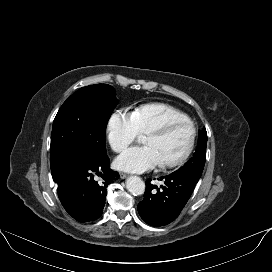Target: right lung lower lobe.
Returning a JSON list of instances; mask_svg holds the SVG:
<instances>
[{"label": "right lung lower lobe", "mask_w": 272, "mask_h": 272, "mask_svg": "<svg viewBox=\"0 0 272 272\" xmlns=\"http://www.w3.org/2000/svg\"><path fill=\"white\" fill-rule=\"evenodd\" d=\"M95 175L102 179L96 181ZM52 176L68 214L79 222H89L102 215L107 187L119 174L109 168V158L105 154L79 159Z\"/></svg>", "instance_id": "right-lung-lower-lobe-1"}]
</instances>
